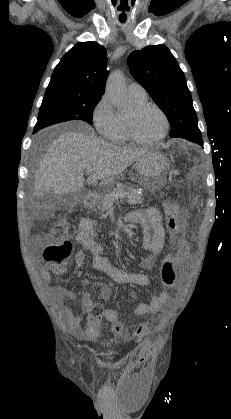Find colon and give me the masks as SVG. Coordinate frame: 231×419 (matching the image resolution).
<instances>
[{"label": "colon", "instance_id": "obj_1", "mask_svg": "<svg viewBox=\"0 0 231 419\" xmlns=\"http://www.w3.org/2000/svg\"><path fill=\"white\" fill-rule=\"evenodd\" d=\"M179 208L175 203H168L165 208V224L166 228L173 239L178 230V220H179ZM70 224L67 219H61L57 221L51 228V236L53 241L49 243L44 251L43 256L44 260L47 263L55 264L60 269L64 268V264L67 262L68 258L73 249L72 242L67 239V233L69 230ZM166 252L163 253L161 257V262L159 265V279L162 282V286L165 290L173 291L177 289V279L175 276L176 273V251L173 245H168L166 247ZM167 302L171 301L170 297L166 298ZM104 313V307L101 304H94L91 307L90 314L94 318H101ZM112 331L117 338L123 337V327L120 321L113 322ZM134 334L142 342L143 348H151L159 344L158 341L150 344L148 339V331L143 327V325H138L134 329Z\"/></svg>", "mask_w": 231, "mask_h": 419}]
</instances>
